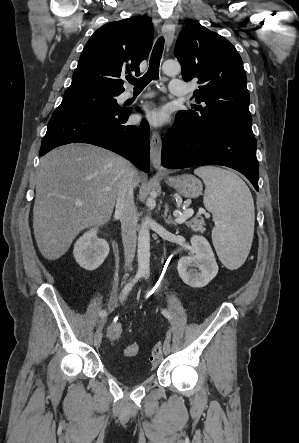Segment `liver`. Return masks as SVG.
I'll return each mask as SVG.
<instances>
[{"label":"liver","instance_id":"1","mask_svg":"<svg viewBox=\"0 0 299 443\" xmlns=\"http://www.w3.org/2000/svg\"><path fill=\"white\" fill-rule=\"evenodd\" d=\"M130 169L123 157L91 145L68 144L40 159L33 230L46 259L60 258L83 229L110 220L119 185ZM134 172L138 185L140 175Z\"/></svg>","mask_w":299,"mask_h":443}]
</instances>
